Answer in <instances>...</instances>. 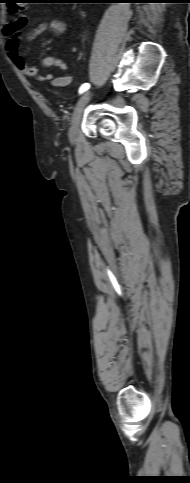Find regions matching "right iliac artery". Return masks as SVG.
<instances>
[{"instance_id": "1", "label": "right iliac artery", "mask_w": 190, "mask_h": 483, "mask_svg": "<svg viewBox=\"0 0 190 483\" xmlns=\"http://www.w3.org/2000/svg\"><path fill=\"white\" fill-rule=\"evenodd\" d=\"M89 88H90L89 83H84V84L81 85V87L79 89V93L81 94V93L87 91Z\"/></svg>"}]
</instances>
